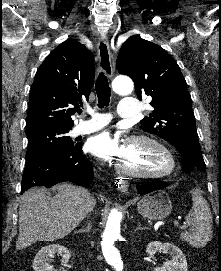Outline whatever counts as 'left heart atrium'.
Instances as JSON below:
<instances>
[{"label":"left heart atrium","mask_w":221,"mask_h":271,"mask_svg":"<svg viewBox=\"0 0 221 271\" xmlns=\"http://www.w3.org/2000/svg\"><path fill=\"white\" fill-rule=\"evenodd\" d=\"M123 147V142H118V134L113 131H103L92 136L88 141V150L99 154L101 157H131L128 148Z\"/></svg>","instance_id":"left-heart-atrium-1"}]
</instances>
